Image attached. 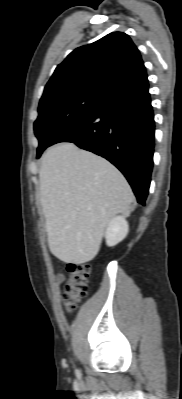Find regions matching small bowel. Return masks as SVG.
I'll list each match as a JSON object with an SVG mask.
<instances>
[{"instance_id": "obj_1", "label": "small bowel", "mask_w": 182, "mask_h": 399, "mask_svg": "<svg viewBox=\"0 0 182 399\" xmlns=\"http://www.w3.org/2000/svg\"><path fill=\"white\" fill-rule=\"evenodd\" d=\"M63 280H64V276L62 274H59L57 277L58 284H61L63 282Z\"/></svg>"}]
</instances>
